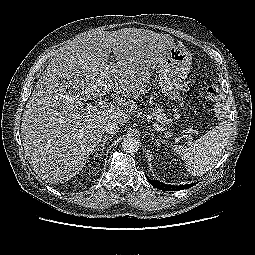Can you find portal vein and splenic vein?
Segmentation results:
<instances>
[{
  "label": "portal vein and splenic vein",
  "mask_w": 255,
  "mask_h": 255,
  "mask_svg": "<svg viewBox=\"0 0 255 255\" xmlns=\"http://www.w3.org/2000/svg\"><path fill=\"white\" fill-rule=\"evenodd\" d=\"M106 103H107L106 100H102V101L99 102L98 107L87 104L86 108H87L88 111L96 112L100 109H104L106 107ZM154 126L159 129L158 125L154 124Z\"/></svg>",
  "instance_id": "portal-vein-and-splenic-vein-1"
}]
</instances>
